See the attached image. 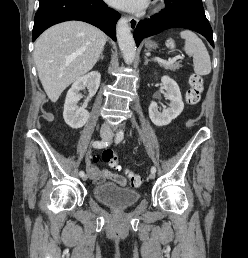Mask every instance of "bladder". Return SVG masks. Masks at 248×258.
<instances>
[{
    "mask_svg": "<svg viewBox=\"0 0 248 258\" xmlns=\"http://www.w3.org/2000/svg\"><path fill=\"white\" fill-rule=\"evenodd\" d=\"M95 199L115 209L128 208L136 204L141 198V193L133 188L121 187L114 183L98 184L93 189Z\"/></svg>",
    "mask_w": 248,
    "mask_h": 258,
    "instance_id": "1",
    "label": "bladder"
}]
</instances>
